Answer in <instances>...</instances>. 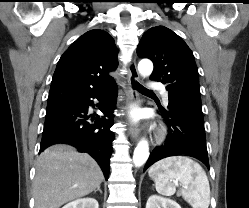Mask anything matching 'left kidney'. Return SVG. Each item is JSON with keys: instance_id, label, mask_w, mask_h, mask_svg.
Segmentation results:
<instances>
[{"instance_id": "5707ae66", "label": "left kidney", "mask_w": 249, "mask_h": 208, "mask_svg": "<svg viewBox=\"0 0 249 208\" xmlns=\"http://www.w3.org/2000/svg\"><path fill=\"white\" fill-rule=\"evenodd\" d=\"M146 208H181V206L171 199L152 195L147 200Z\"/></svg>"}]
</instances>
